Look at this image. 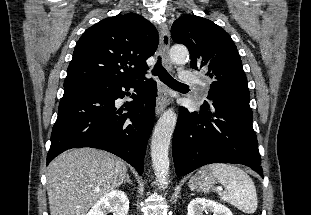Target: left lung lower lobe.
Returning a JSON list of instances; mask_svg holds the SVG:
<instances>
[{
  "instance_id": "obj_1",
  "label": "left lung lower lobe",
  "mask_w": 311,
  "mask_h": 215,
  "mask_svg": "<svg viewBox=\"0 0 311 215\" xmlns=\"http://www.w3.org/2000/svg\"><path fill=\"white\" fill-rule=\"evenodd\" d=\"M200 112L180 108L172 140L178 176L210 163L243 164L263 177L249 102L208 98Z\"/></svg>"
}]
</instances>
